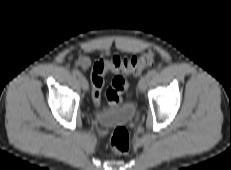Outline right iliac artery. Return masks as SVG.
<instances>
[{
	"mask_svg": "<svg viewBox=\"0 0 231 170\" xmlns=\"http://www.w3.org/2000/svg\"><path fill=\"white\" fill-rule=\"evenodd\" d=\"M72 73L74 76H80V72L77 69H74Z\"/></svg>",
	"mask_w": 231,
	"mask_h": 170,
	"instance_id": "obj_1",
	"label": "right iliac artery"
}]
</instances>
